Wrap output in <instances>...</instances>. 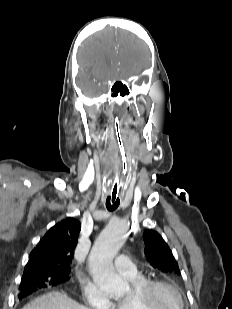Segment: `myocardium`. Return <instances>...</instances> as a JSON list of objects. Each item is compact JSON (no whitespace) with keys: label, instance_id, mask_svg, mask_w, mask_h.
Returning <instances> with one entry per match:
<instances>
[{"label":"myocardium","instance_id":"myocardium-1","mask_svg":"<svg viewBox=\"0 0 232 309\" xmlns=\"http://www.w3.org/2000/svg\"><path fill=\"white\" fill-rule=\"evenodd\" d=\"M161 287L174 291L180 299V309H185L186 302L182 291L175 284L163 279H146L138 289L134 290L133 297L141 309H160V306L157 304L156 293Z\"/></svg>","mask_w":232,"mask_h":309}]
</instances>
